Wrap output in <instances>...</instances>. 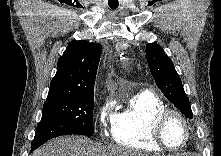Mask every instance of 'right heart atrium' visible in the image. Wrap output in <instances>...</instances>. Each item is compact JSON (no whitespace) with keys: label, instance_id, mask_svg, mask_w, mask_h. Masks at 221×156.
Here are the masks:
<instances>
[{"label":"right heart atrium","instance_id":"d8ad5b80","mask_svg":"<svg viewBox=\"0 0 221 156\" xmlns=\"http://www.w3.org/2000/svg\"><path fill=\"white\" fill-rule=\"evenodd\" d=\"M114 103L107 99L99 108L98 121L101 131L104 133L113 126L115 115L113 113Z\"/></svg>","mask_w":221,"mask_h":156}]
</instances>
